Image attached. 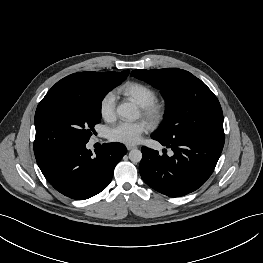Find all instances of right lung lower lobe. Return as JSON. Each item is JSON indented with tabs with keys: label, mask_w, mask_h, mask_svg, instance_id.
Here are the masks:
<instances>
[{
	"label": "right lung lower lobe",
	"mask_w": 263,
	"mask_h": 263,
	"mask_svg": "<svg viewBox=\"0 0 263 263\" xmlns=\"http://www.w3.org/2000/svg\"><path fill=\"white\" fill-rule=\"evenodd\" d=\"M86 143L61 147L36 159L50 184L76 200L88 199L104 190L127 152L123 144L114 142L103 144L92 153Z\"/></svg>",
	"instance_id": "obj_1"
}]
</instances>
